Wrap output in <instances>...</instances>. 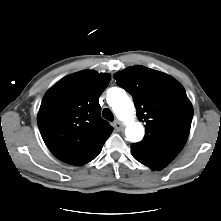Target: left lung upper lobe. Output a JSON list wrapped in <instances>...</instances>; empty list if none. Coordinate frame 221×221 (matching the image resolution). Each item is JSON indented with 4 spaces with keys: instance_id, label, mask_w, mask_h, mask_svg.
Segmentation results:
<instances>
[{
    "instance_id": "5c2ea615",
    "label": "left lung upper lobe",
    "mask_w": 221,
    "mask_h": 221,
    "mask_svg": "<svg viewBox=\"0 0 221 221\" xmlns=\"http://www.w3.org/2000/svg\"><path fill=\"white\" fill-rule=\"evenodd\" d=\"M114 78L132 95L137 116L146 123L145 137L135 145L170 163L183 149L193 117L184 88L171 76L143 66L129 67Z\"/></svg>"
}]
</instances>
